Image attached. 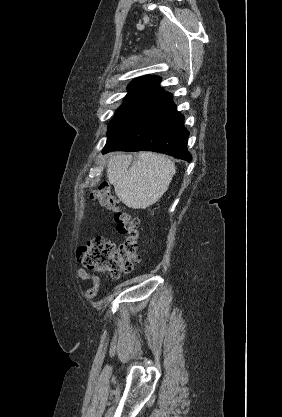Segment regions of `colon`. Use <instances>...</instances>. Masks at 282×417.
Here are the masks:
<instances>
[{
	"mask_svg": "<svg viewBox=\"0 0 282 417\" xmlns=\"http://www.w3.org/2000/svg\"><path fill=\"white\" fill-rule=\"evenodd\" d=\"M92 197L98 206L114 212L117 231L125 237L120 247L101 235H93L76 253L78 262L87 270L120 278L131 272L141 258L140 224L119 202L107 184L96 186Z\"/></svg>",
	"mask_w": 282,
	"mask_h": 417,
	"instance_id": "colon-1",
	"label": "colon"
}]
</instances>
